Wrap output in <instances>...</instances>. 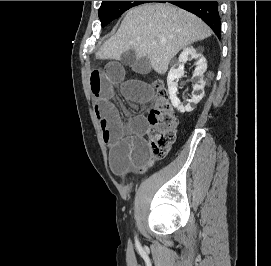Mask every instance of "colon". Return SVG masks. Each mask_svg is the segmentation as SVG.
Here are the masks:
<instances>
[{"mask_svg": "<svg viewBox=\"0 0 271 266\" xmlns=\"http://www.w3.org/2000/svg\"><path fill=\"white\" fill-rule=\"evenodd\" d=\"M153 86L157 100L149 113V150L153 157L164 158L175 142L178 121L163 82Z\"/></svg>", "mask_w": 271, "mask_h": 266, "instance_id": "5ec220e1", "label": "colon"}]
</instances>
